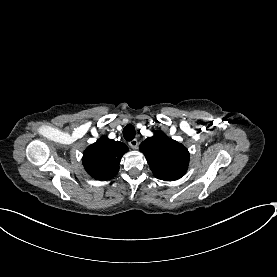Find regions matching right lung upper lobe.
Returning <instances> with one entry per match:
<instances>
[{
	"mask_svg": "<svg viewBox=\"0 0 277 277\" xmlns=\"http://www.w3.org/2000/svg\"><path fill=\"white\" fill-rule=\"evenodd\" d=\"M127 151L124 143L103 136L84 151L83 165L93 178L110 180L118 173L121 158Z\"/></svg>",
	"mask_w": 277,
	"mask_h": 277,
	"instance_id": "cb5924a9",
	"label": "right lung upper lobe"
}]
</instances>
